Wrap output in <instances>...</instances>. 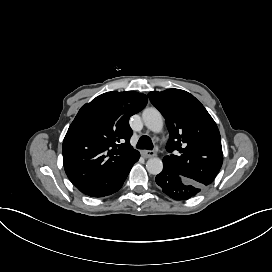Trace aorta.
<instances>
[{
	"label": "aorta",
	"instance_id": "aorta-1",
	"mask_svg": "<svg viewBox=\"0 0 272 272\" xmlns=\"http://www.w3.org/2000/svg\"><path fill=\"white\" fill-rule=\"evenodd\" d=\"M145 126L154 134L163 132L164 119L161 113L154 107L147 108L142 114ZM147 171L150 174L157 175L163 169V161L159 157H151L146 162Z\"/></svg>",
	"mask_w": 272,
	"mask_h": 272
}]
</instances>
